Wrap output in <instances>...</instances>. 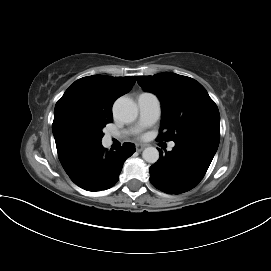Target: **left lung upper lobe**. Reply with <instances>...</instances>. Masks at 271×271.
<instances>
[{"mask_svg": "<svg viewBox=\"0 0 271 271\" xmlns=\"http://www.w3.org/2000/svg\"><path fill=\"white\" fill-rule=\"evenodd\" d=\"M138 84L162 103L157 140L190 139L215 146L220 141V114L206 89L196 80L175 73L138 76Z\"/></svg>", "mask_w": 271, "mask_h": 271, "instance_id": "obj_1", "label": "left lung upper lobe"}]
</instances>
